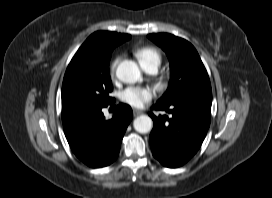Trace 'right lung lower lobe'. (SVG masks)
<instances>
[{
    "label": "right lung lower lobe",
    "mask_w": 272,
    "mask_h": 198,
    "mask_svg": "<svg viewBox=\"0 0 272 198\" xmlns=\"http://www.w3.org/2000/svg\"><path fill=\"white\" fill-rule=\"evenodd\" d=\"M104 106H86L62 113L67 141L74 154L93 168L104 167L116 160L121 141L133 113L129 105H117L113 117L106 120Z\"/></svg>",
    "instance_id": "1"
}]
</instances>
